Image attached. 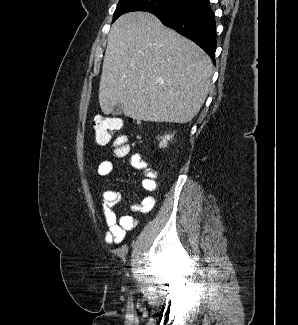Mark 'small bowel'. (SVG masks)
<instances>
[{
  "label": "small bowel",
  "instance_id": "small-bowel-1",
  "mask_svg": "<svg viewBox=\"0 0 298 325\" xmlns=\"http://www.w3.org/2000/svg\"><path fill=\"white\" fill-rule=\"evenodd\" d=\"M114 169V162L111 159L103 160L97 169L99 176L105 177ZM157 171L152 167L144 170V176L141 185L144 191L142 200L138 204L130 205L132 212L148 213L155 205V198L149 193L157 188ZM122 195L118 190L107 189L102 192L103 215L107 225L105 232V241L108 244H121L126 236L127 231L133 230L137 221L128 214L118 216L114 207L121 201Z\"/></svg>",
  "mask_w": 298,
  "mask_h": 325
}]
</instances>
